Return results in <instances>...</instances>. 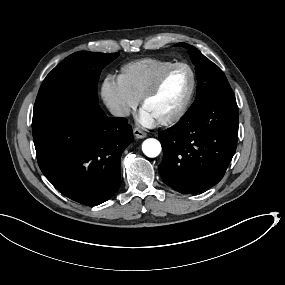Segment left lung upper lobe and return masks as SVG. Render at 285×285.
<instances>
[{
	"label": "left lung upper lobe",
	"instance_id": "5c2ea615",
	"mask_svg": "<svg viewBox=\"0 0 285 285\" xmlns=\"http://www.w3.org/2000/svg\"><path fill=\"white\" fill-rule=\"evenodd\" d=\"M174 46L188 48L191 60L195 65L198 88L197 98L192 106L213 98L235 97L223 71L198 49L186 43H178Z\"/></svg>",
	"mask_w": 285,
	"mask_h": 285
}]
</instances>
